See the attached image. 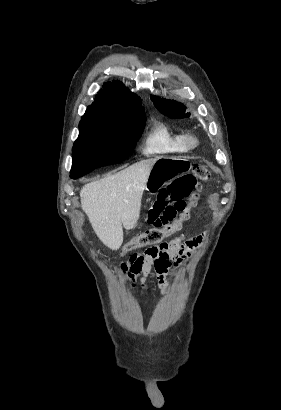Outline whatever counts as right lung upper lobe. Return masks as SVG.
Returning <instances> with one entry per match:
<instances>
[{
    "mask_svg": "<svg viewBox=\"0 0 281 410\" xmlns=\"http://www.w3.org/2000/svg\"><path fill=\"white\" fill-rule=\"evenodd\" d=\"M85 114L109 120H132L145 116L140 98L120 81L105 83Z\"/></svg>",
    "mask_w": 281,
    "mask_h": 410,
    "instance_id": "cb5924a9",
    "label": "right lung upper lobe"
}]
</instances>
